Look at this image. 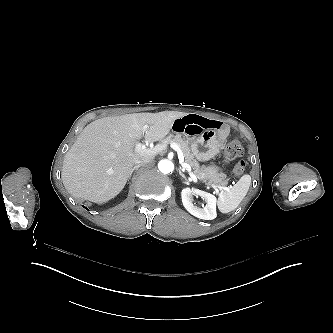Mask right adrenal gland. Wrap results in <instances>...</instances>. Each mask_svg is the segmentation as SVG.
I'll list each match as a JSON object with an SVG mask.
<instances>
[{
  "instance_id": "obj_1",
  "label": "right adrenal gland",
  "mask_w": 333,
  "mask_h": 333,
  "mask_svg": "<svg viewBox=\"0 0 333 333\" xmlns=\"http://www.w3.org/2000/svg\"><path fill=\"white\" fill-rule=\"evenodd\" d=\"M139 167H137V166H134L133 168H132V170H131V174L135 171V170H137Z\"/></svg>"
}]
</instances>
